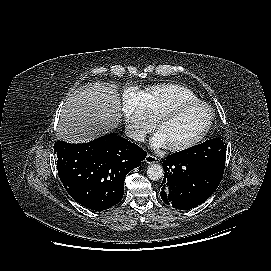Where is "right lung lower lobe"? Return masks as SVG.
Masks as SVG:
<instances>
[{
  "label": "right lung lower lobe",
  "mask_w": 271,
  "mask_h": 271,
  "mask_svg": "<svg viewBox=\"0 0 271 271\" xmlns=\"http://www.w3.org/2000/svg\"><path fill=\"white\" fill-rule=\"evenodd\" d=\"M54 151L60 180L69 195L96 211L122 199L126 175L146 157L143 149L116 134L84 144L57 141Z\"/></svg>",
  "instance_id": "98d812e1"
}]
</instances>
